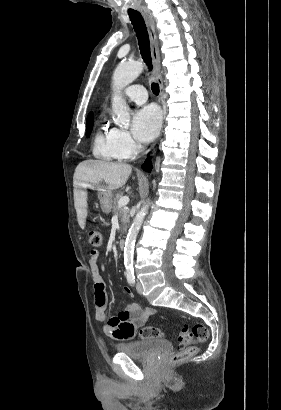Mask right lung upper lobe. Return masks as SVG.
<instances>
[{
    "instance_id": "obj_1",
    "label": "right lung upper lobe",
    "mask_w": 281,
    "mask_h": 410,
    "mask_svg": "<svg viewBox=\"0 0 281 410\" xmlns=\"http://www.w3.org/2000/svg\"><path fill=\"white\" fill-rule=\"evenodd\" d=\"M90 116H93V113H92V112L89 113L88 117H90Z\"/></svg>"
}]
</instances>
